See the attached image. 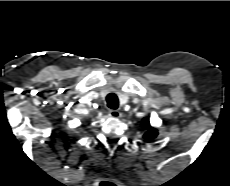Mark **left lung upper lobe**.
Listing matches in <instances>:
<instances>
[{
	"label": "left lung upper lobe",
	"instance_id": "1",
	"mask_svg": "<svg viewBox=\"0 0 230 186\" xmlns=\"http://www.w3.org/2000/svg\"><path fill=\"white\" fill-rule=\"evenodd\" d=\"M142 126H144L148 129V131L144 134V138L147 141H151L157 136V134H158L157 129L150 126V122L147 118L143 119Z\"/></svg>",
	"mask_w": 230,
	"mask_h": 186
}]
</instances>
